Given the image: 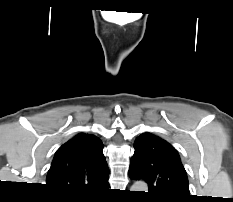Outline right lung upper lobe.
Wrapping results in <instances>:
<instances>
[{
  "instance_id": "1",
  "label": "right lung upper lobe",
  "mask_w": 233,
  "mask_h": 202,
  "mask_svg": "<svg viewBox=\"0 0 233 202\" xmlns=\"http://www.w3.org/2000/svg\"><path fill=\"white\" fill-rule=\"evenodd\" d=\"M102 141L80 133L56 152L47 175V186L56 194L85 198L108 188L109 169Z\"/></svg>"
}]
</instances>
